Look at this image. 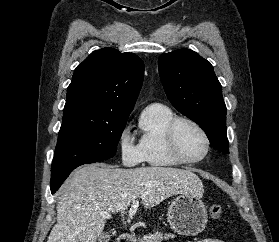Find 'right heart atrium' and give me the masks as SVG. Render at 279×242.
<instances>
[{
	"label": "right heart atrium",
	"instance_id": "d8ad5b80",
	"mask_svg": "<svg viewBox=\"0 0 279 242\" xmlns=\"http://www.w3.org/2000/svg\"><path fill=\"white\" fill-rule=\"evenodd\" d=\"M120 158L125 166L133 167L144 161L138 144L131 137L128 130H123L118 138Z\"/></svg>",
	"mask_w": 279,
	"mask_h": 242
}]
</instances>
